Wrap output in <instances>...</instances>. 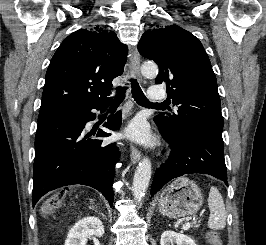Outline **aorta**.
I'll return each mask as SVG.
<instances>
[{"label": "aorta", "instance_id": "obj_1", "mask_svg": "<svg viewBox=\"0 0 266 245\" xmlns=\"http://www.w3.org/2000/svg\"><path fill=\"white\" fill-rule=\"evenodd\" d=\"M143 76H157L158 66L157 64H143L141 68ZM151 161L150 159H142L139 163L135 175L133 177V193L134 199L137 203L142 201L145 197V193L148 189L149 181L151 179Z\"/></svg>", "mask_w": 266, "mask_h": 245}]
</instances>
